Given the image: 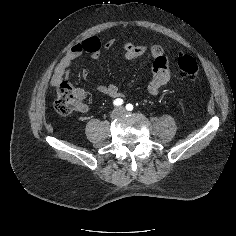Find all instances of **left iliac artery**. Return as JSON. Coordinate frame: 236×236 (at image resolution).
Segmentation results:
<instances>
[{
  "label": "left iliac artery",
  "instance_id": "1",
  "mask_svg": "<svg viewBox=\"0 0 236 236\" xmlns=\"http://www.w3.org/2000/svg\"><path fill=\"white\" fill-rule=\"evenodd\" d=\"M126 109L128 110V111H132L133 110V105L132 104H127L126 105Z\"/></svg>",
  "mask_w": 236,
  "mask_h": 236
}]
</instances>
